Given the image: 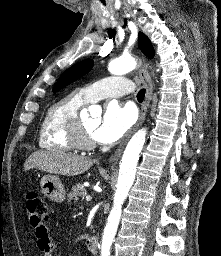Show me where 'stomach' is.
I'll list each match as a JSON object with an SVG mask.
<instances>
[{"label":"stomach","mask_w":221,"mask_h":256,"mask_svg":"<svg viewBox=\"0 0 221 256\" xmlns=\"http://www.w3.org/2000/svg\"><path fill=\"white\" fill-rule=\"evenodd\" d=\"M42 193L55 202L65 199L66 191L59 178L54 175H44L40 180Z\"/></svg>","instance_id":"stomach-1"}]
</instances>
